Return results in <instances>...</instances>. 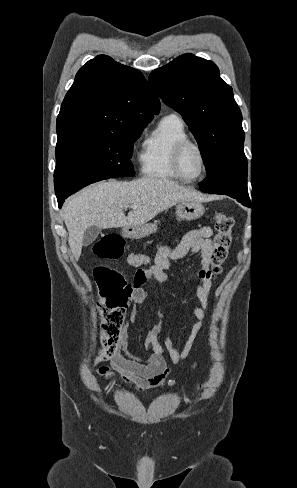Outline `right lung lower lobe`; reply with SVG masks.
<instances>
[{
    "label": "right lung lower lobe",
    "mask_w": 297,
    "mask_h": 488,
    "mask_svg": "<svg viewBox=\"0 0 297 488\" xmlns=\"http://www.w3.org/2000/svg\"><path fill=\"white\" fill-rule=\"evenodd\" d=\"M67 197H64V198H58V205H59V208H61V206L63 205L64 203V200L66 199Z\"/></svg>",
    "instance_id": "right-lung-lower-lobe-1"
}]
</instances>
